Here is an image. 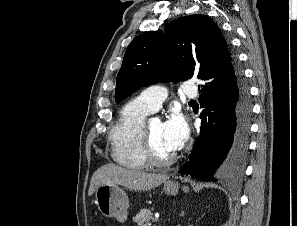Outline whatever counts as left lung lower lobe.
I'll return each instance as SVG.
<instances>
[{
	"mask_svg": "<svg viewBox=\"0 0 297 226\" xmlns=\"http://www.w3.org/2000/svg\"><path fill=\"white\" fill-rule=\"evenodd\" d=\"M234 62V75L200 86L199 102L204 108L200 135L181 174L216 181L213 174L222 164L223 181L235 184L243 175L252 106L243 73L236 59Z\"/></svg>",
	"mask_w": 297,
	"mask_h": 226,
	"instance_id": "obj_1",
	"label": "left lung lower lobe"
}]
</instances>
